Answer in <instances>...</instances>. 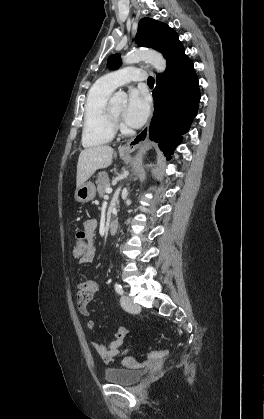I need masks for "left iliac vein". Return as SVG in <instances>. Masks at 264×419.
Returning <instances> with one entry per match:
<instances>
[{"instance_id":"obj_1","label":"left iliac vein","mask_w":264,"mask_h":419,"mask_svg":"<svg viewBox=\"0 0 264 419\" xmlns=\"http://www.w3.org/2000/svg\"><path fill=\"white\" fill-rule=\"evenodd\" d=\"M121 306L124 310L130 312V313H137L140 311V306L133 302V299L124 295L121 297Z\"/></svg>"}]
</instances>
